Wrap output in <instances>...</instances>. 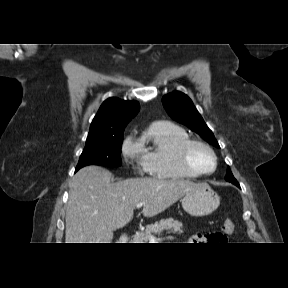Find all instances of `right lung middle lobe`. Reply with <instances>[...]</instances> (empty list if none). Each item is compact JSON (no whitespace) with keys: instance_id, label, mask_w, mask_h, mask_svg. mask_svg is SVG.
I'll list each match as a JSON object with an SVG mask.
<instances>
[{"instance_id":"1","label":"right lung middle lobe","mask_w":288,"mask_h":288,"mask_svg":"<svg viewBox=\"0 0 288 288\" xmlns=\"http://www.w3.org/2000/svg\"><path fill=\"white\" fill-rule=\"evenodd\" d=\"M123 132L86 141L76 171L87 165L118 167L122 164Z\"/></svg>"}]
</instances>
